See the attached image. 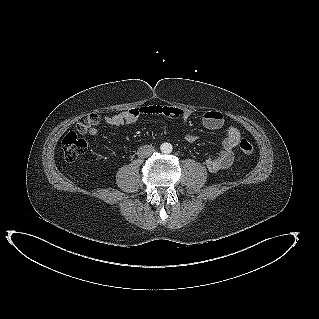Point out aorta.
<instances>
[{
  "label": "aorta",
  "instance_id": "762f6f07",
  "mask_svg": "<svg viewBox=\"0 0 319 319\" xmlns=\"http://www.w3.org/2000/svg\"><path fill=\"white\" fill-rule=\"evenodd\" d=\"M161 151L163 152V153H170V152H172V145L170 144V143H163L162 145H161Z\"/></svg>",
  "mask_w": 319,
  "mask_h": 319
}]
</instances>
